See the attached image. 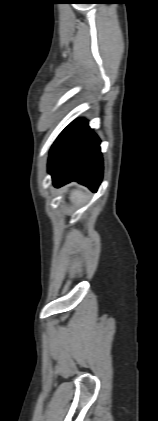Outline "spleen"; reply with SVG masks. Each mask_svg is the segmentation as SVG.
I'll return each mask as SVG.
<instances>
[{
  "mask_svg": "<svg viewBox=\"0 0 158 421\" xmlns=\"http://www.w3.org/2000/svg\"><path fill=\"white\" fill-rule=\"evenodd\" d=\"M86 199L85 193L81 189L73 190L70 195L72 202H84Z\"/></svg>",
  "mask_w": 158,
  "mask_h": 421,
  "instance_id": "obj_1",
  "label": "spleen"
}]
</instances>
